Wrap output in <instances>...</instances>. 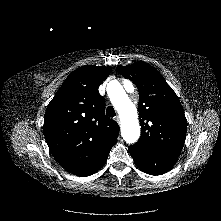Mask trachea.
I'll return each mask as SVG.
<instances>
[{
	"label": "trachea",
	"mask_w": 221,
	"mask_h": 221,
	"mask_svg": "<svg viewBox=\"0 0 221 221\" xmlns=\"http://www.w3.org/2000/svg\"><path fill=\"white\" fill-rule=\"evenodd\" d=\"M106 114L109 117H114L116 115L115 110L112 106L107 107Z\"/></svg>",
	"instance_id": "obj_1"
}]
</instances>
